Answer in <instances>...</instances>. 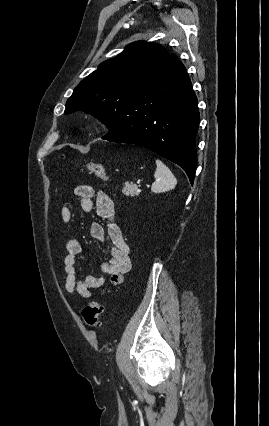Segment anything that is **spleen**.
I'll return each instance as SVG.
<instances>
[{
    "instance_id": "1",
    "label": "spleen",
    "mask_w": 269,
    "mask_h": 426,
    "mask_svg": "<svg viewBox=\"0 0 269 426\" xmlns=\"http://www.w3.org/2000/svg\"><path fill=\"white\" fill-rule=\"evenodd\" d=\"M156 171L154 173L155 181L151 186V191L161 193L173 189L177 180L170 169L160 160H156Z\"/></svg>"
}]
</instances>
